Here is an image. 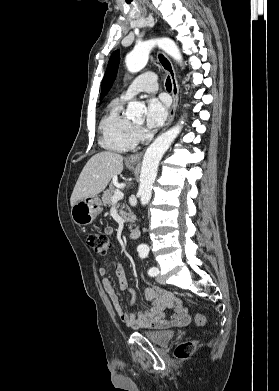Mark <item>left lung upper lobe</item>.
Returning <instances> with one entry per match:
<instances>
[{"instance_id": "1", "label": "left lung upper lobe", "mask_w": 279, "mask_h": 391, "mask_svg": "<svg viewBox=\"0 0 279 391\" xmlns=\"http://www.w3.org/2000/svg\"><path fill=\"white\" fill-rule=\"evenodd\" d=\"M119 57H120V52L119 50H116L113 52L109 59V63L106 69V73L104 75L103 81H102V90H101V96L100 98H103L109 89L111 88L119 66Z\"/></svg>"}]
</instances>
